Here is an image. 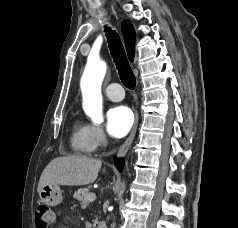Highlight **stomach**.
Wrapping results in <instances>:
<instances>
[{
  "label": "stomach",
  "mask_w": 238,
  "mask_h": 228,
  "mask_svg": "<svg viewBox=\"0 0 238 228\" xmlns=\"http://www.w3.org/2000/svg\"><path fill=\"white\" fill-rule=\"evenodd\" d=\"M39 196L43 203L50 206H56L62 201V191L58 185H44Z\"/></svg>",
  "instance_id": "obj_1"
}]
</instances>
